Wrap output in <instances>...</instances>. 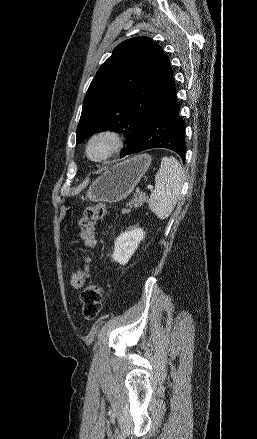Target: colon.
I'll list each match as a JSON object with an SVG mask.
<instances>
[{
    "label": "colon",
    "mask_w": 257,
    "mask_h": 439,
    "mask_svg": "<svg viewBox=\"0 0 257 439\" xmlns=\"http://www.w3.org/2000/svg\"><path fill=\"white\" fill-rule=\"evenodd\" d=\"M106 213V205L102 202L92 205L84 211L80 220L81 237L88 248L95 245V227ZM70 284L74 288H80L84 284V270L82 268L73 271L70 275ZM102 288L91 284L85 287L81 293L82 313L85 319L92 320L98 316L102 308Z\"/></svg>",
    "instance_id": "colon-1"
}]
</instances>
